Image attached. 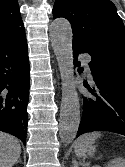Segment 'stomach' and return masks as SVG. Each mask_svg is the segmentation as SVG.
Masks as SVG:
<instances>
[{
    "label": "stomach",
    "instance_id": "stomach-1",
    "mask_svg": "<svg viewBox=\"0 0 125 167\" xmlns=\"http://www.w3.org/2000/svg\"><path fill=\"white\" fill-rule=\"evenodd\" d=\"M92 149H93V151H95V149H96V146L93 144H92Z\"/></svg>",
    "mask_w": 125,
    "mask_h": 167
}]
</instances>
